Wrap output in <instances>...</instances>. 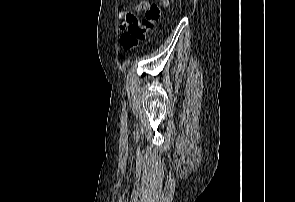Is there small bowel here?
I'll return each mask as SVG.
<instances>
[{
	"label": "small bowel",
	"instance_id": "obj_1",
	"mask_svg": "<svg viewBox=\"0 0 295 202\" xmlns=\"http://www.w3.org/2000/svg\"><path fill=\"white\" fill-rule=\"evenodd\" d=\"M162 2L165 7L169 5V0H162ZM150 6V2H148L147 0H138L130 5L129 9L123 13L124 22L121 26V29H126L128 24L131 22L139 23L136 12L146 11L150 8Z\"/></svg>",
	"mask_w": 295,
	"mask_h": 202
}]
</instances>
